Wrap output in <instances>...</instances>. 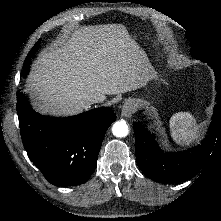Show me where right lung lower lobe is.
Segmentation results:
<instances>
[{
  "mask_svg": "<svg viewBox=\"0 0 221 221\" xmlns=\"http://www.w3.org/2000/svg\"><path fill=\"white\" fill-rule=\"evenodd\" d=\"M19 91L17 114L30 160L53 185L85 183L97 166L102 141L116 114L103 107L68 118L47 117L32 110Z\"/></svg>",
  "mask_w": 221,
  "mask_h": 221,
  "instance_id": "right-lung-lower-lobe-1",
  "label": "right lung lower lobe"
}]
</instances>
